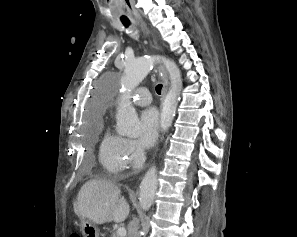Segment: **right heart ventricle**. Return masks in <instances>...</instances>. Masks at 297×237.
Wrapping results in <instances>:
<instances>
[{"mask_svg":"<svg viewBox=\"0 0 297 237\" xmlns=\"http://www.w3.org/2000/svg\"><path fill=\"white\" fill-rule=\"evenodd\" d=\"M125 145V138L110 131H106L101 139L99 161L103 168L112 175L120 173L127 167Z\"/></svg>","mask_w":297,"mask_h":237,"instance_id":"e07e8e85","label":"right heart ventricle"}]
</instances>
